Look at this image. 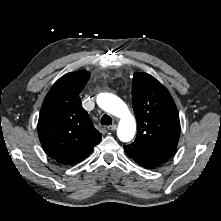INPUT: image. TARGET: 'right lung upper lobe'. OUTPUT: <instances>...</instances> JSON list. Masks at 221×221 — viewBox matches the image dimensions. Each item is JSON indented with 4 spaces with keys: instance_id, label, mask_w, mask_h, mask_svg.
Segmentation results:
<instances>
[{
    "instance_id": "obj_1",
    "label": "right lung upper lobe",
    "mask_w": 221,
    "mask_h": 221,
    "mask_svg": "<svg viewBox=\"0 0 221 221\" xmlns=\"http://www.w3.org/2000/svg\"><path fill=\"white\" fill-rule=\"evenodd\" d=\"M89 78L86 70L65 74L51 87L41 108V145L51 158L64 165L84 160L102 138L79 97Z\"/></svg>"
}]
</instances>
